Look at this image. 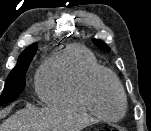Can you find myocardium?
<instances>
[{
  "label": "myocardium",
  "mask_w": 151,
  "mask_h": 131,
  "mask_svg": "<svg viewBox=\"0 0 151 131\" xmlns=\"http://www.w3.org/2000/svg\"><path fill=\"white\" fill-rule=\"evenodd\" d=\"M102 78H108L117 89L121 101H122V109L120 113L117 116L111 117L106 114H104L100 108L97 105L96 101V85ZM84 94L86 97V100L90 106V108L93 110V112L99 116L102 119H108V120H118L121 117L124 116L127 110V96L125 93V90L120 82V80L117 78V76L110 71L107 68L104 67H97L91 70L89 75L86 78L85 85H84Z\"/></svg>",
  "instance_id": "myocardium-1"
}]
</instances>
